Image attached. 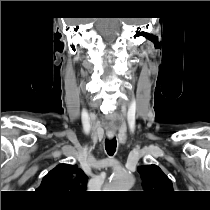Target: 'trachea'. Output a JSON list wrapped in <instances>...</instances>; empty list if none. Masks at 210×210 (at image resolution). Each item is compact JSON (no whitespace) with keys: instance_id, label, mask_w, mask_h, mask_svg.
Returning a JSON list of instances; mask_svg holds the SVG:
<instances>
[{"instance_id":"obj_1","label":"trachea","mask_w":210,"mask_h":210,"mask_svg":"<svg viewBox=\"0 0 210 210\" xmlns=\"http://www.w3.org/2000/svg\"><path fill=\"white\" fill-rule=\"evenodd\" d=\"M117 141L116 138H113L111 140L105 141V149L108 153V155L112 156L116 151Z\"/></svg>"}]
</instances>
